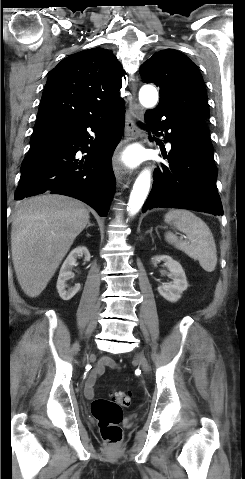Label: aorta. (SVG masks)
Instances as JSON below:
<instances>
[{
	"mask_svg": "<svg viewBox=\"0 0 245 479\" xmlns=\"http://www.w3.org/2000/svg\"><path fill=\"white\" fill-rule=\"evenodd\" d=\"M139 100L146 108L154 107L158 101V92L153 86H143L139 92ZM150 182V171L145 169L136 179L130 194L127 207L130 215H135L143 206L149 192Z\"/></svg>",
	"mask_w": 245,
	"mask_h": 479,
	"instance_id": "1",
	"label": "aorta"
}]
</instances>
